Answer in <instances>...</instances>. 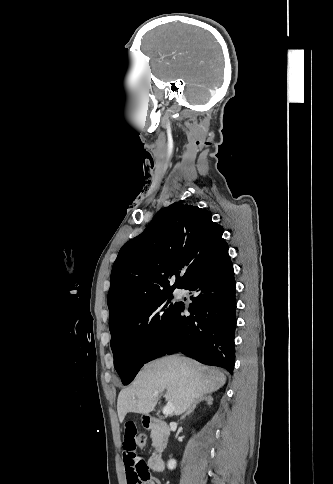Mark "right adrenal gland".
<instances>
[{
	"label": "right adrenal gland",
	"instance_id": "1",
	"mask_svg": "<svg viewBox=\"0 0 333 484\" xmlns=\"http://www.w3.org/2000/svg\"><path fill=\"white\" fill-rule=\"evenodd\" d=\"M203 401H206V403L208 405H211L212 404V401H213V398L211 397V395H206L204 397H200L199 399H197V401L195 403H193V405L189 408V410L181 417V420L182 419H185V417L187 415H190L195 410V408L197 407V405L200 402H203Z\"/></svg>",
	"mask_w": 333,
	"mask_h": 484
}]
</instances>
